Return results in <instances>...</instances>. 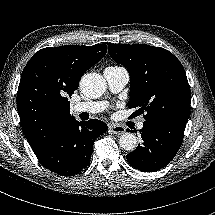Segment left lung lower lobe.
<instances>
[{
    "instance_id": "obj_1",
    "label": "left lung lower lobe",
    "mask_w": 215,
    "mask_h": 215,
    "mask_svg": "<svg viewBox=\"0 0 215 215\" xmlns=\"http://www.w3.org/2000/svg\"><path fill=\"white\" fill-rule=\"evenodd\" d=\"M187 120L156 119L143 123V143L126 158L130 165L142 172L157 171L174 158L184 136Z\"/></svg>"
}]
</instances>
